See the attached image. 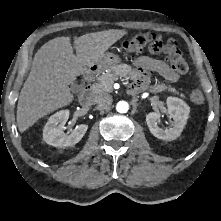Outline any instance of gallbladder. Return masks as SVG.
I'll use <instances>...</instances> for the list:
<instances>
[{"label":"gallbladder","instance_id":"bac80fb5","mask_svg":"<svg viewBox=\"0 0 221 221\" xmlns=\"http://www.w3.org/2000/svg\"><path fill=\"white\" fill-rule=\"evenodd\" d=\"M75 87V84H72V88H74Z\"/></svg>","mask_w":221,"mask_h":221}]
</instances>
